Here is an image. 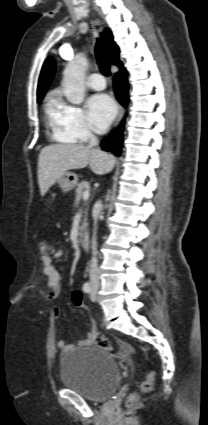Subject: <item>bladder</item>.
I'll return each mask as SVG.
<instances>
[{"label": "bladder", "instance_id": "31cf9c89", "mask_svg": "<svg viewBox=\"0 0 208 425\" xmlns=\"http://www.w3.org/2000/svg\"><path fill=\"white\" fill-rule=\"evenodd\" d=\"M120 380L114 358L98 347L76 350L61 359V381L89 400L110 396Z\"/></svg>", "mask_w": 208, "mask_h": 425}]
</instances>
